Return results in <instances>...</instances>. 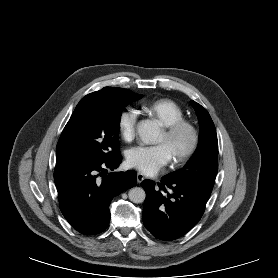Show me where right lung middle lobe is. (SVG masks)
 Segmentation results:
<instances>
[{"instance_id":"dd1d6c3e","label":"right lung middle lobe","mask_w":278,"mask_h":278,"mask_svg":"<svg viewBox=\"0 0 278 278\" xmlns=\"http://www.w3.org/2000/svg\"><path fill=\"white\" fill-rule=\"evenodd\" d=\"M142 97L136 93L86 95L76 106L59 138L56 166L104 160L120 154L121 113L129 102Z\"/></svg>"}]
</instances>
